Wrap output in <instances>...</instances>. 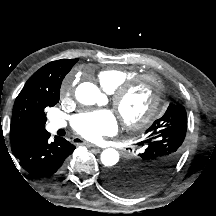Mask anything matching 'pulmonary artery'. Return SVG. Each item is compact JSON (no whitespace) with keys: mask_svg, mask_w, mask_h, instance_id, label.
Here are the masks:
<instances>
[{"mask_svg":"<svg viewBox=\"0 0 216 216\" xmlns=\"http://www.w3.org/2000/svg\"><path fill=\"white\" fill-rule=\"evenodd\" d=\"M65 126H66V122L62 119H53L48 124V127L51 131H56Z\"/></svg>","mask_w":216,"mask_h":216,"instance_id":"obj_1","label":"pulmonary artery"}]
</instances>
